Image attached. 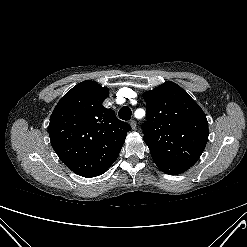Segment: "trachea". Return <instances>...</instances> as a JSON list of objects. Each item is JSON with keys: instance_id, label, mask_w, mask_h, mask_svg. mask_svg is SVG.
Returning <instances> with one entry per match:
<instances>
[{"instance_id": "1", "label": "trachea", "mask_w": 247, "mask_h": 247, "mask_svg": "<svg viewBox=\"0 0 247 247\" xmlns=\"http://www.w3.org/2000/svg\"><path fill=\"white\" fill-rule=\"evenodd\" d=\"M131 109L128 106H124L123 108L120 109L118 116L120 119L128 121L131 119Z\"/></svg>"}]
</instances>
